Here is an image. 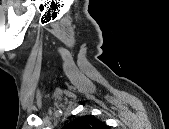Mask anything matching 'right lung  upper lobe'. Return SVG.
Segmentation results:
<instances>
[{"instance_id":"1","label":"right lung upper lobe","mask_w":169,"mask_h":129,"mask_svg":"<svg viewBox=\"0 0 169 129\" xmlns=\"http://www.w3.org/2000/svg\"><path fill=\"white\" fill-rule=\"evenodd\" d=\"M65 129H106V125L91 116H83L74 122L66 124Z\"/></svg>"}]
</instances>
